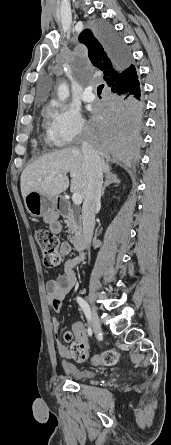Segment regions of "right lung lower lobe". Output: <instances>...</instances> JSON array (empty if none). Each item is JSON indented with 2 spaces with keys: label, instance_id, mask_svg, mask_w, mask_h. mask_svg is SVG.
<instances>
[{
  "label": "right lung lower lobe",
  "instance_id": "1",
  "mask_svg": "<svg viewBox=\"0 0 171 445\" xmlns=\"http://www.w3.org/2000/svg\"><path fill=\"white\" fill-rule=\"evenodd\" d=\"M99 33L109 55L124 70L130 67V53L110 26L100 25ZM100 117H92L86 134L101 155L123 164L139 159L143 120V95L138 79L124 81L110 89L97 106Z\"/></svg>",
  "mask_w": 171,
  "mask_h": 445
}]
</instances>
